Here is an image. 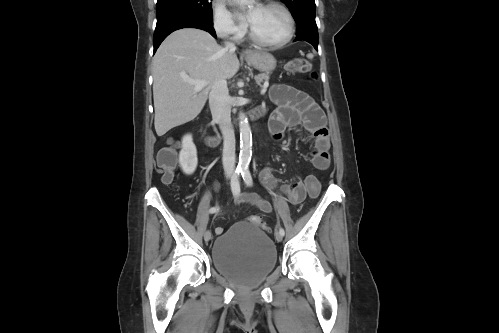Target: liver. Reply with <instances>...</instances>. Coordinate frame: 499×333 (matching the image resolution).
Listing matches in <instances>:
<instances>
[{
  "mask_svg": "<svg viewBox=\"0 0 499 333\" xmlns=\"http://www.w3.org/2000/svg\"><path fill=\"white\" fill-rule=\"evenodd\" d=\"M239 70L235 50L218 45L206 31L179 29L170 34L153 58L154 126L158 136L195 119L218 78L230 79ZM185 79L204 80L195 91Z\"/></svg>",
  "mask_w": 499,
  "mask_h": 333,
  "instance_id": "obj_1",
  "label": "liver"
}]
</instances>
